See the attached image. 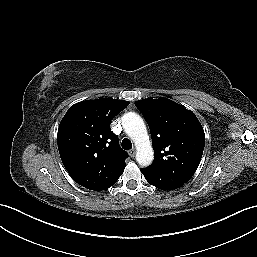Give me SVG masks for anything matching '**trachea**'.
<instances>
[{
	"label": "trachea",
	"mask_w": 257,
	"mask_h": 257,
	"mask_svg": "<svg viewBox=\"0 0 257 257\" xmlns=\"http://www.w3.org/2000/svg\"><path fill=\"white\" fill-rule=\"evenodd\" d=\"M121 146L123 149L129 150L132 148V143L129 139L125 138V139H123Z\"/></svg>",
	"instance_id": "3493384b"
}]
</instances>
